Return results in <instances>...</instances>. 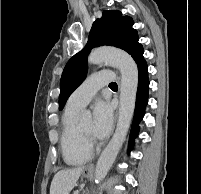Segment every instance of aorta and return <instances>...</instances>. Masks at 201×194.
<instances>
[{"mask_svg": "<svg viewBox=\"0 0 201 194\" xmlns=\"http://www.w3.org/2000/svg\"><path fill=\"white\" fill-rule=\"evenodd\" d=\"M88 62L93 65L108 64L115 66L121 73L120 108L115 133L98 159L95 169V181L99 183L107 175L123 145L133 117L138 87V68L133 58L126 52L102 47L93 50ZM83 119H89L91 113L83 111Z\"/></svg>", "mask_w": 201, "mask_h": 194, "instance_id": "762f6f07", "label": "aorta"}]
</instances>
